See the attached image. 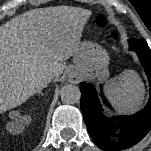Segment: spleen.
<instances>
[{
	"mask_svg": "<svg viewBox=\"0 0 151 151\" xmlns=\"http://www.w3.org/2000/svg\"><path fill=\"white\" fill-rule=\"evenodd\" d=\"M104 92L113 108L121 113L134 112L143 97L142 83L132 70H126L109 80L104 86Z\"/></svg>",
	"mask_w": 151,
	"mask_h": 151,
	"instance_id": "3e777b00",
	"label": "spleen"
}]
</instances>
